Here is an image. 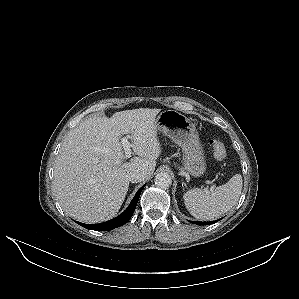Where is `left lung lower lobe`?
<instances>
[{"label":"left lung lower lobe","instance_id":"left-lung-lower-lobe-1","mask_svg":"<svg viewBox=\"0 0 299 299\" xmlns=\"http://www.w3.org/2000/svg\"><path fill=\"white\" fill-rule=\"evenodd\" d=\"M216 221H210V222H193L192 221V223H194V224H196V225H210V224H213V223H215Z\"/></svg>","mask_w":299,"mask_h":299}]
</instances>
